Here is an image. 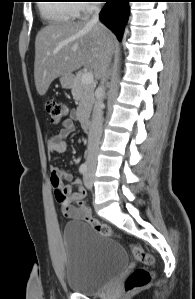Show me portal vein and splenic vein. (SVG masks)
Segmentation results:
<instances>
[{
	"label": "portal vein and splenic vein",
	"instance_id": "1",
	"mask_svg": "<svg viewBox=\"0 0 195 299\" xmlns=\"http://www.w3.org/2000/svg\"><path fill=\"white\" fill-rule=\"evenodd\" d=\"M93 79H94V77H93V73L92 72H85V73H83V75L81 77V81L84 84H90V83H92Z\"/></svg>",
	"mask_w": 195,
	"mask_h": 299
}]
</instances>
